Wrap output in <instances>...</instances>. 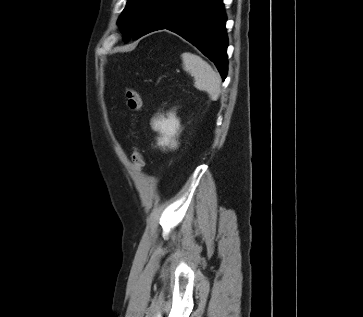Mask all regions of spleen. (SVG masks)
I'll use <instances>...</instances> for the list:
<instances>
[{
    "mask_svg": "<svg viewBox=\"0 0 363 317\" xmlns=\"http://www.w3.org/2000/svg\"><path fill=\"white\" fill-rule=\"evenodd\" d=\"M181 58L184 70L194 76L195 87L206 91L211 99H217L221 91L220 75L198 55L185 52Z\"/></svg>",
    "mask_w": 363,
    "mask_h": 317,
    "instance_id": "3e777b00",
    "label": "spleen"
}]
</instances>
